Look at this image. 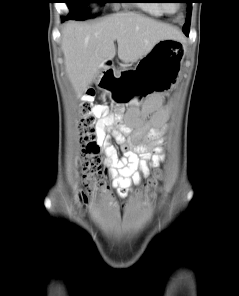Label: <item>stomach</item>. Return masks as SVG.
Segmentation results:
<instances>
[{"label": "stomach", "instance_id": "obj_1", "mask_svg": "<svg viewBox=\"0 0 239 296\" xmlns=\"http://www.w3.org/2000/svg\"><path fill=\"white\" fill-rule=\"evenodd\" d=\"M185 45L179 39H162L138 62L137 69H120L116 84L157 85H100V90L112 94L114 105H142L143 98L151 94H164L172 90L180 63L184 57Z\"/></svg>", "mask_w": 239, "mask_h": 296}]
</instances>
